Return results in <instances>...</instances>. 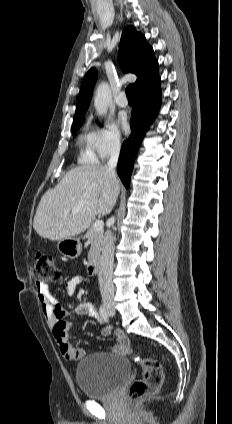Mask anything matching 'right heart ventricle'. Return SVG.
Returning a JSON list of instances; mask_svg holds the SVG:
<instances>
[{
	"label": "right heart ventricle",
	"instance_id": "1",
	"mask_svg": "<svg viewBox=\"0 0 232 424\" xmlns=\"http://www.w3.org/2000/svg\"><path fill=\"white\" fill-rule=\"evenodd\" d=\"M93 143L94 131L89 127H84L77 137V160L79 164L94 165L98 163V156Z\"/></svg>",
	"mask_w": 232,
	"mask_h": 424
}]
</instances>
